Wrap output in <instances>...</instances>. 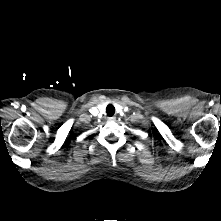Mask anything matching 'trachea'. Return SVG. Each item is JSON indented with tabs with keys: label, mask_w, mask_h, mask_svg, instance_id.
I'll return each instance as SVG.
<instances>
[{
	"label": "trachea",
	"mask_w": 221,
	"mask_h": 221,
	"mask_svg": "<svg viewBox=\"0 0 221 221\" xmlns=\"http://www.w3.org/2000/svg\"><path fill=\"white\" fill-rule=\"evenodd\" d=\"M106 112L108 116H112L115 113V108L113 105L109 104L106 108Z\"/></svg>",
	"instance_id": "1"
}]
</instances>
